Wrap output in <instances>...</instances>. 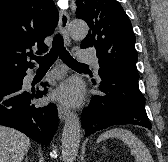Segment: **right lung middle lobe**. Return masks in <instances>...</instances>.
Wrapping results in <instances>:
<instances>
[{
  "label": "right lung middle lobe",
  "instance_id": "obj_1",
  "mask_svg": "<svg viewBox=\"0 0 168 162\" xmlns=\"http://www.w3.org/2000/svg\"><path fill=\"white\" fill-rule=\"evenodd\" d=\"M16 76H18V75L2 77V78H0V83H1V82H4V81H7V80H9V79H13V78H15Z\"/></svg>",
  "mask_w": 168,
  "mask_h": 162
}]
</instances>
